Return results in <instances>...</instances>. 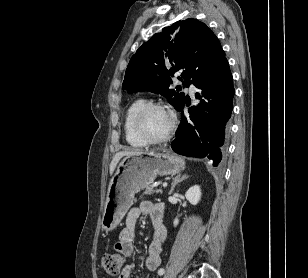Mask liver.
<instances>
[{
  "mask_svg": "<svg viewBox=\"0 0 308 278\" xmlns=\"http://www.w3.org/2000/svg\"><path fill=\"white\" fill-rule=\"evenodd\" d=\"M144 153L143 151L141 150H131V151H121V152H118L114 155L112 161H111V164H110V168H109V171H110V175L113 174L119 160L123 157V156H128V155H136V154H142Z\"/></svg>",
  "mask_w": 308,
  "mask_h": 278,
  "instance_id": "6515ba94",
  "label": "liver"
}]
</instances>
